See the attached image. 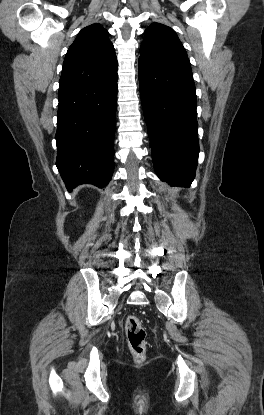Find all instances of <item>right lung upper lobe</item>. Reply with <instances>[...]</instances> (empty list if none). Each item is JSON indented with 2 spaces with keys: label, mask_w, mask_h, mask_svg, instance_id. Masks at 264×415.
<instances>
[{
  "label": "right lung upper lobe",
  "mask_w": 264,
  "mask_h": 415,
  "mask_svg": "<svg viewBox=\"0 0 264 415\" xmlns=\"http://www.w3.org/2000/svg\"><path fill=\"white\" fill-rule=\"evenodd\" d=\"M116 72L117 59L108 31L92 24L82 29L69 47L59 89L99 81Z\"/></svg>",
  "instance_id": "1"
}]
</instances>
